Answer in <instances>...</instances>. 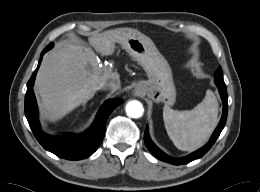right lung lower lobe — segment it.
I'll use <instances>...</instances> for the list:
<instances>
[{
  "instance_id": "right-lung-lower-lobe-1",
  "label": "right lung lower lobe",
  "mask_w": 260,
  "mask_h": 192,
  "mask_svg": "<svg viewBox=\"0 0 260 192\" xmlns=\"http://www.w3.org/2000/svg\"><path fill=\"white\" fill-rule=\"evenodd\" d=\"M49 49L50 47L47 46L41 53V57ZM41 61L42 58L39 60L37 69L34 71L27 83V92L25 95V115L32 132L39 143L46 150L54 153L60 158L69 160H80L87 158L99 147L105 134V124L108 116L118 105L123 102V100L110 99L106 101L100 108L92 128L83 134H69L60 138H53L45 134L40 128L37 103L33 92V84Z\"/></svg>"
}]
</instances>
